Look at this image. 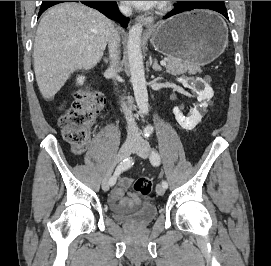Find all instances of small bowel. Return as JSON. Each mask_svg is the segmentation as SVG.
I'll list each match as a JSON object with an SVG mask.
<instances>
[{"label":"small bowel","instance_id":"c3829d8e","mask_svg":"<svg viewBox=\"0 0 271 266\" xmlns=\"http://www.w3.org/2000/svg\"><path fill=\"white\" fill-rule=\"evenodd\" d=\"M132 179L129 177H121L117 186L112 190L110 195V204L115 209L134 208L141 204V199L135 193L129 192Z\"/></svg>","mask_w":271,"mask_h":266}]
</instances>
